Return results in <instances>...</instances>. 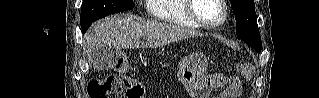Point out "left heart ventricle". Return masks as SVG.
Masks as SVG:
<instances>
[{
	"label": "left heart ventricle",
	"instance_id": "b2bd125f",
	"mask_svg": "<svg viewBox=\"0 0 319 98\" xmlns=\"http://www.w3.org/2000/svg\"><path fill=\"white\" fill-rule=\"evenodd\" d=\"M193 10L203 21L214 24L223 17V8L218 0H195Z\"/></svg>",
	"mask_w": 319,
	"mask_h": 98
}]
</instances>
